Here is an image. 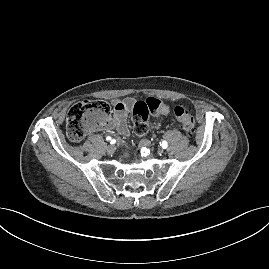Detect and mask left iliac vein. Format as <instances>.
<instances>
[{"label":"left iliac vein","mask_w":269,"mask_h":269,"mask_svg":"<svg viewBox=\"0 0 269 269\" xmlns=\"http://www.w3.org/2000/svg\"><path fill=\"white\" fill-rule=\"evenodd\" d=\"M140 146L149 147L150 146V142L148 140H141Z\"/></svg>","instance_id":"4c4485c4"}]
</instances>
